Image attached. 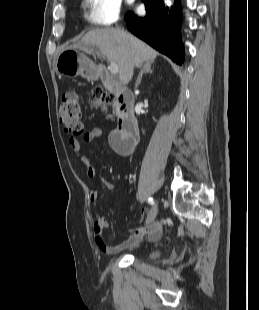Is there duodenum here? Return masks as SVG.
Wrapping results in <instances>:
<instances>
[{
  "label": "duodenum",
  "instance_id": "obj_1",
  "mask_svg": "<svg viewBox=\"0 0 259 310\" xmlns=\"http://www.w3.org/2000/svg\"><path fill=\"white\" fill-rule=\"evenodd\" d=\"M99 77L109 89L113 90L117 105L118 127L111 133V144L120 154H132L139 139L133 93L115 86L103 69H99Z\"/></svg>",
  "mask_w": 259,
  "mask_h": 310
}]
</instances>
